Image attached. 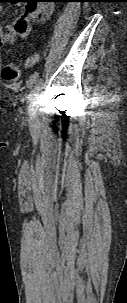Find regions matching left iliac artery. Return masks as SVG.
Wrapping results in <instances>:
<instances>
[{"label":"left iliac artery","instance_id":"1","mask_svg":"<svg viewBox=\"0 0 127 303\" xmlns=\"http://www.w3.org/2000/svg\"><path fill=\"white\" fill-rule=\"evenodd\" d=\"M42 84V80L40 79L37 84L32 88V90L30 91V93L28 94V100L29 102H32L35 99V96L37 94V91L39 89V87Z\"/></svg>","mask_w":127,"mask_h":303}]
</instances>
